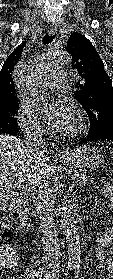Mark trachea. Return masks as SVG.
I'll list each match as a JSON object with an SVG mask.
<instances>
[{
    "label": "trachea",
    "instance_id": "3493384b",
    "mask_svg": "<svg viewBox=\"0 0 113 279\" xmlns=\"http://www.w3.org/2000/svg\"><path fill=\"white\" fill-rule=\"evenodd\" d=\"M55 38V35H49L48 33L45 34V36L43 37V44L44 45H48L49 43H51L53 41V39Z\"/></svg>",
    "mask_w": 113,
    "mask_h": 279
}]
</instances>
